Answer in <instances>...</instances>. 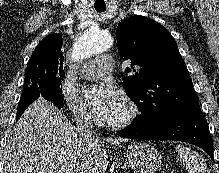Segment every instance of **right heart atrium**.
<instances>
[{
	"mask_svg": "<svg viewBox=\"0 0 219 173\" xmlns=\"http://www.w3.org/2000/svg\"><path fill=\"white\" fill-rule=\"evenodd\" d=\"M63 101L79 122L92 124L96 117L94 112L83 102V100L72 90H65L62 94Z\"/></svg>",
	"mask_w": 219,
	"mask_h": 173,
	"instance_id": "right-heart-atrium-1",
	"label": "right heart atrium"
}]
</instances>
